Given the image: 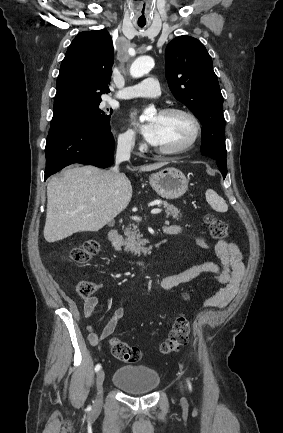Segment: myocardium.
Returning <instances> with one entry per match:
<instances>
[{
    "instance_id": "obj_1",
    "label": "myocardium",
    "mask_w": 283,
    "mask_h": 433,
    "mask_svg": "<svg viewBox=\"0 0 283 433\" xmlns=\"http://www.w3.org/2000/svg\"><path fill=\"white\" fill-rule=\"evenodd\" d=\"M160 114H184L192 121L194 125L193 135L185 145H183L181 148L176 150H167V151L161 150L159 151L160 154L166 157H177V156L185 155L188 152H190L197 144V142L199 141L202 135L203 126L199 117L188 108L181 107V106L165 107L160 111Z\"/></svg>"
}]
</instances>
